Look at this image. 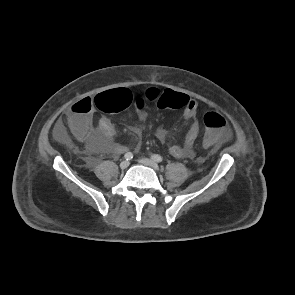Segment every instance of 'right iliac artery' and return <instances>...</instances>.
Returning <instances> with one entry per match:
<instances>
[{
	"label": "right iliac artery",
	"instance_id": "1",
	"mask_svg": "<svg viewBox=\"0 0 295 295\" xmlns=\"http://www.w3.org/2000/svg\"><path fill=\"white\" fill-rule=\"evenodd\" d=\"M124 158L128 161V160H131L133 158V154L131 152H127L125 155H124Z\"/></svg>",
	"mask_w": 295,
	"mask_h": 295
}]
</instances>
